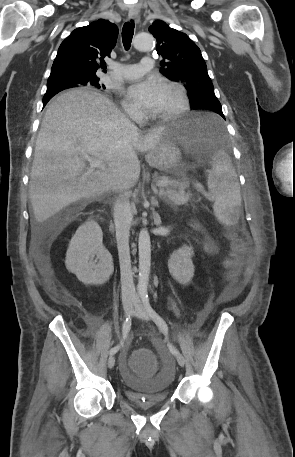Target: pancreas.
<instances>
[{
    "instance_id": "cf45deb5",
    "label": "pancreas",
    "mask_w": 295,
    "mask_h": 457,
    "mask_svg": "<svg viewBox=\"0 0 295 457\" xmlns=\"http://www.w3.org/2000/svg\"><path fill=\"white\" fill-rule=\"evenodd\" d=\"M164 179L166 178H160L157 182ZM176 182L177 181H172L171 185L160 186L159 196L166 202L172 204H184L188 202L192 196L190 191H185L189 186V182L184 181L180 182V184H177Z\"/></svg>"
}]
</instances>
